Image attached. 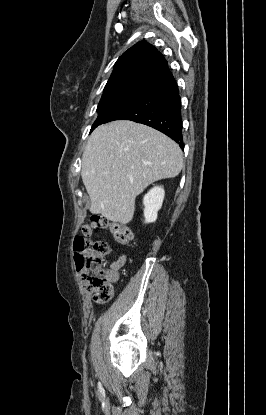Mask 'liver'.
Wrapping results in <instances>:
<instances>
[{"mask_svg":"<svg viewBox=\"0 0 266 415\" xmlns=\"http://www.w3.org/2000/svg\"><path fill=\"white\" fill-rule=\"evenodd\" d=\"M182 167L180 147L159 131L127 120L101 125L89 137L82 158L90 212L127 224L136 196L155 181L176 177Z\"/></svg>","mask_w":266,"mask_h":415,"instance_id":"1","label":"liver"}]
</instances>
